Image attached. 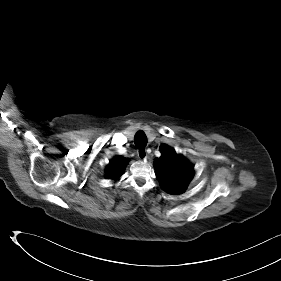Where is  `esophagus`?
Instances as JSON below:
<instances>
[{"label": "esophagus", "instance_id": "1", "mask_svg": "<svg viewBox=\"0 0 281 281\" xmlns=\"http://www.w3.org/2000/svg\"><path fill=\"white\" fill-rule=\"evenodd\" d=\"M137 156L141 160H145L147 158V151L145 148L141 147L137 150Z\"/></svg>", "mask_w": 281, "mask_h": 281}]
</instances>
